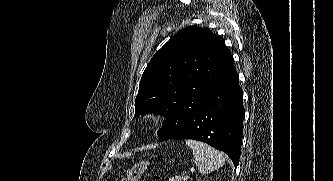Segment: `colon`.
<instances>
[{
    "mask_svg": "<svg viewBox=\"0 0 333 181\" xmlns=\"http://www.w3.org/2000/svg\"><path fill=\"white\" fill-rule=\"evenodd\" d=\"M150 165L151 162L147 160L134 165L127 170L125 178L121 179L120 181H138L141 176L148 170Z\"/></svg>",
    "mask_w": 333,
    "mask_h": 181,
    "instance_id": "colon-1",
    "label": "colon"
}]
</instances>
